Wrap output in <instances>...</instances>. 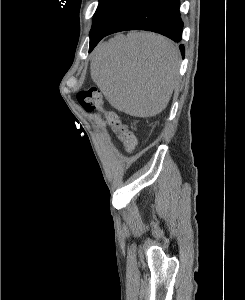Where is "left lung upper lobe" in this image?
Segmentation results:
<instances>
[{"instance_id": "5c2ea615", "label": "left lung upper lobe", "mask_w": 245, "mask_h": 300, "mask_svg": "<svg viewBox=\"0 0 245 300\" xmlns=\"http://www.w3.org/2000/svg\"><path fill=\"white\" fill-rule=\"evenodd\" d=\"M139 1L140 0H99V5L93 17L90 34L95 31L105 33L123 13Z\"/></svg>"}]
</instances>
